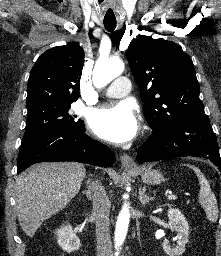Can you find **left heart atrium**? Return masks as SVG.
<instances>
[{"label": "left heart atrium", "instance_id": "left-heart-atrium-1", "mask_svg": "<svg viewBox=\"0 0 221 256\" xmlns=\"http://www.w3.org/2000/svg\"><path fill=\"white\" fill-rule=\"evenodd\" d=\"M89 126L98 137L118 144L132 140L139 129L136 113L128 102L94 110L89 116Z\"/></svg>", "mask_w": 221, "mask_h": 256}]
</instances>
